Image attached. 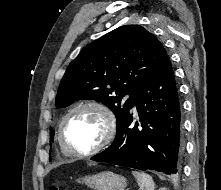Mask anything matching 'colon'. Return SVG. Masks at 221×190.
<instances>
[{"instance_id":"5ec220e1","label":"colon","mask_w":221,"mask_h":190,"mask_svg":"<svg viewBox=\"0 0 221 190\" xmlns=\"http://www.w3.org/2000/svg\"><path fill=\"white\" fill-rule=\"evenodd\" d=\"M49 190H61L59 183H54L49 187Z\"/></svg>"}]
</instances>
